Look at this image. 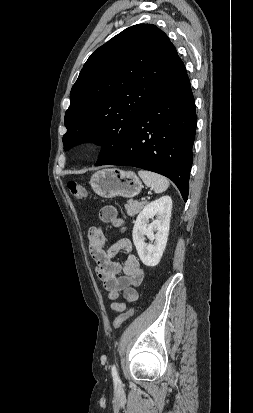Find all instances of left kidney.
<instances>
[{"label": "left kidney", "mask_w": 253, "mask_h": 413, "mask_svg": "<svg viewBox=\"0 0 253 413\" xmlns=\"http://www.w3.org/2000/svg\"><path fill=\"white\" fill-rule=\"evenodd\" d=\"M172 210V199L163 196L147 204L138 215L133 228V242L142 263L149 267L156 266L166 247ZM156 219L149 223V219ZM156 232V234H154ZM147 236L154 244H146Z\"/></svg>", "instance_id": "1"}]
</instances>
